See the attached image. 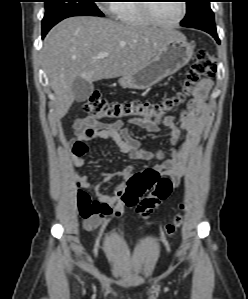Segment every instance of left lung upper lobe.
<instances>
[{
    "label": "left lung upper lobe",
    "instance_id": "left-lung-upper-lobe-1",
    "mask_svg": "<svg viewBox=\"0 0 248 299\" xmlns=\"http://www.w3.org/2000/svg\"><path fill=\"white\" fill-rule=\"evenodd\" d=\"M209 3L210 0H186L187 13L181 26L201 30L215 28L214 14Z\"/></svg>",
    "mask_w": 248,
    "mask_h": 299
}]
</instances>
